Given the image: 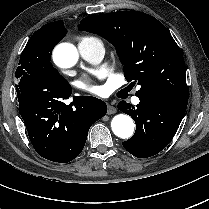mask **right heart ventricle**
I'll list each match as a JSON object with an SVG mask.
<instances>
[{
  "label": "right heart ventricle",
  "instance_id": "right-heart-ventricle-1",
  "mask_svg": "<svg viewBox=\"0 0 209 209\" xmlns=\"http://www.w3.org/2000/svg\"><path fill=\"white\" fill-rule=\"evenodd\" d=\"M90 40H95V39L92 38V37H84V38L82 39V41H90Z\"/></svg>",
  "mask_w": 209,
  "mask_h": 209
}]
</instances>
